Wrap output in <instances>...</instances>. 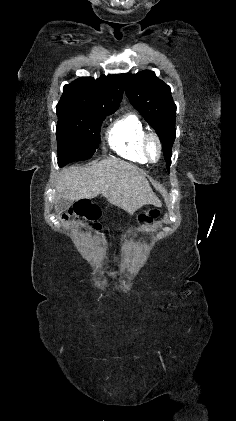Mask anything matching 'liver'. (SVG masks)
<instances>
[{
  "label": "liver",
  "instance_id": "liver-1",
  "mask_svg": "<svg viewBox=\"0 0 236 421\" xmlns=\"http://www.w3.org/2000/svg\"><path fill=\"white\" fill-rule=\"evenodd\" d=\"M55 194L56 200L60 196L79 200L103 194L111 204L124 208L129 215L143 204H162L144 172L121 158L92 160L84 166H64Z\"/></svg>",
  "mask_w": 236,
  "mask_h": 421
}]
</instances>
